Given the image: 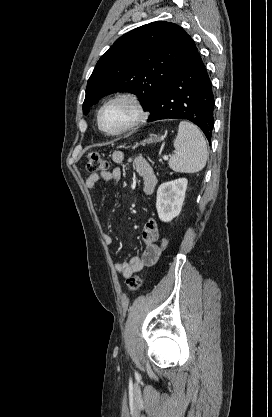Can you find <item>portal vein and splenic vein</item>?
I'll return each instance as SVG.
<instances>
[{"label":"portal vein and splenic vein","mask_w":272,"mask_h":417,"mask_svg":"<svg viewBox=\"0 0 272 417\" xmlns=\"http://www.w3.org/2000/svg\"><path fill=\"white\" fill-rule=\"evenodd\" d=\"M163 159H164V160H168V155H164V156H163Z\"/></svg>","instance_id":"obj_1"}]
</instances>
